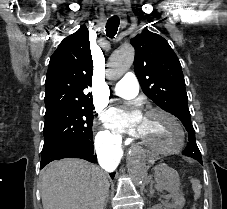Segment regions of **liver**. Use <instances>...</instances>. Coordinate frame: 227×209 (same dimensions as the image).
<instances>
[{
  "instance_id": "obj_1",
  "label": "liver",
  "mask_w": 227,
  "mask_h": 209,
  "mask_svg": "<svg viewBox=\"0 0 227 209\" xmlns=\"http://www.w3.org/2000/svg\"><path fill=\"white\" fill-rule=\"evenodd\" d=\"M43 209H103L109 189L105 171L82 159H62L40 175Z\"/></svg>"
}]
</instances>
